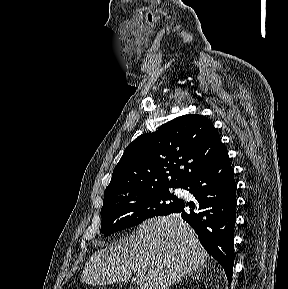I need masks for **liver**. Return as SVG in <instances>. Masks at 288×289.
<instances>
[{
  "label": "liver",
  "mask_w": 288,
  "mask_h": 289,
  "mask_svg": "<svg viewBox=\"0 0 288 289\" xmlns=\"http://www.w3.org/2000/svg\"><path fill=\"white\" fill-rule=\"evenodd\" d=\"M208 254L178 214L144 221L136 235L95 252L81 274L85 284L127 282L135 272L140 289H169L204 265Z\"/></svg>",
  "instance_id": "obj_1"
}]
</instances>
